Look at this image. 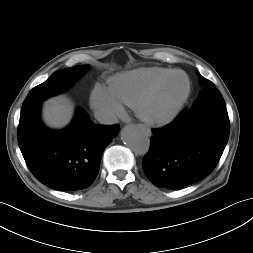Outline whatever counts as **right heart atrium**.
Masks as SVG:
<instances>
[{
    "instance_id": "right-heart-atrium-1",
    "label": "right heart atrium",
    "mask_w": 253,
    "mask_h": 253,
    "mask_svg": "<svg viewBox=\"0 0 253 253\" xmlns=\"http://www.w3.org/2000/svg\"><path fill=\"white\" fill-rule=\"evenodd\" d=\"M90 103L98 114L106 120L122 117L125 113L123 104L114 96L110 88L101 84L94 86Z\"/></svg>"
}]
</instances>
